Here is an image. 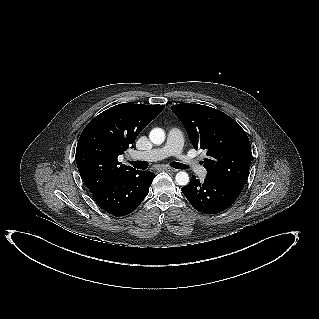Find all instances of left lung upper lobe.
I'll use <instances>...</instances> for the list:
<instances>
[{
	"label": "left lung upper lobe",
	"mask_w": 319,
	"mask_h": 319,
	"mask_svg": "<svg viewBox=\"0 0 319 319\" xmlns=\"http://www.w3.org/2000/svg\"><path fill=\"white\" fill-rule=\"evenodd\" d=\"M183 122L195 149L206 150L207 177L242 191L249 176L252 153L246 132L225 113L209 106H171Z\"/></svg>",
	"instance_id": "5c2ea615"
}]
</instances>
